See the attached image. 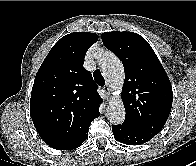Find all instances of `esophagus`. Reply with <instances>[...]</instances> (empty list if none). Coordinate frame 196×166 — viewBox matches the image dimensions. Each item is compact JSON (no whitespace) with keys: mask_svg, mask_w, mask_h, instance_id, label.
Here are the masks:
<instances>
[{"mask_svg":"<svg viewBox=\"0 0 196 166\" xmlns=\"http://www.w3.org/2000/svg\"><path fill=\"white\" fill-rule=\"evenodd\" d=\"M103 88H104L107 96L109 97L110 96V86L108 84H106Z\"/></svg>","mask_w":196,"mask_h":166,"instance_id":"esophagus-1","label":"esophagus"}]
</instances>
